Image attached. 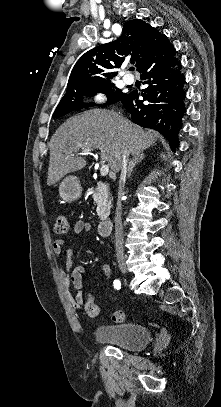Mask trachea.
Here are the masks:
<instances>
[{
  "mask_svg": "<svg viewBox=\"0 0 221 407\" xmlns=\"http://www.w3.org/2000/svg\"><path fill=\"white\" fill-rule=\"evenodd\" d=\"M130 70H131V71H134V67H131Z\"/></svg>",
  "mask_w": 221,
  "mask_h": 407,
  "instance_id": "1",
  "label": "trachea"
}]
</instances>
